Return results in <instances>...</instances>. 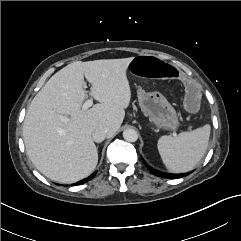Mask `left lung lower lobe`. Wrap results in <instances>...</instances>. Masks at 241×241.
I'll use <instances>...</instances> for the list:
<instances>
[{
  "label": "left lung lower lobe",
  "instance_id": "obj_1",
  "mask_svg": "<svg viewBox=\"0 0 241 241\" xmlns=\"http://www.w3.org/2000/svg\"><path fill=\"white\" fill-rule=\"evenodd\" d=\"M147 168H148L149 171H150L151 173H153L154 175L159 176V177H163V178L177 179V178H181V177L189 174V173H187V174H179V175H177V174H167V173H162V172H159V171H157V170H154V169H152V168L149 167V166H147Z\"/></svg>",
  "mask_w": 241,
  "mask_h": 241
}]
</instances>
